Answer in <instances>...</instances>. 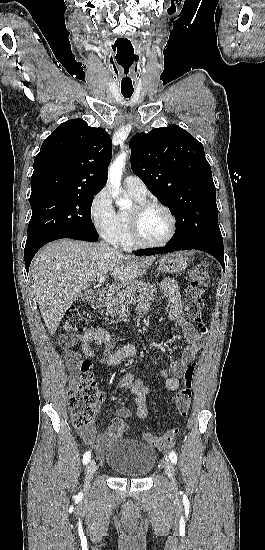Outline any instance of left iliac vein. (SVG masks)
<instances>
[{
    "instance_id": "obj_1",
    "label": "left iliac vein",
    "mask_w": 265,
    "mask_h": 550,
    "mask_svg": "<svg viewBox=\"0 0 265 550\" xmlns=\"http://www.w3.org/2000/svg\"><path fill=\"white\" fill-rule=\"evenodd\" d=\"M165 472L168 476V478L171 481V484H175V478H174V468L170 461L165 462Z\"/></svg>"
}]
</instances>
